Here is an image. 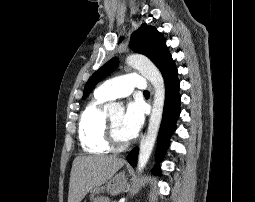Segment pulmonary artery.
<instances>
[{"label": "pulmonary artery", "mask_w": 255, "mask_h": 202, "mask_svg": "<svg viewBox=\"0 0 255 202\" xmlns=\"http://www.w3.org/2000/svg\"><path fill=\"white\" fill-rule=\"evenodd\" d=\"M135 88L147 90L146 80L136 73H129L105 81L95 93L106 100H114L128 96Z\"/></svg>", "instance_id": "pulmonary-artery-1"}]
</instances>
